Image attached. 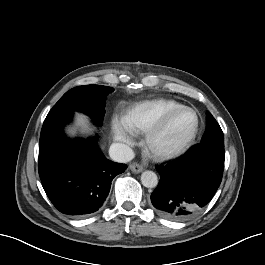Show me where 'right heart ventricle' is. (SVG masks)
I'll return each instance as SVG.
<instances>
[{
  "label": "right heart ventricle",
  "mask_w": 265,
  "mask_h": 265,
  "mask_svg": "<svg viewBox=\"0 0 265 265\" xmlns=\"http://www.w3.org/2000/svg\"><path fill=\"white\" fill-rule=\"evenodd\" d=\"M183 106L173 99H154L138 103L121 116V124L132 134H144L162 114Z\"/></svg>",
  "instance_id": "1"
}]
</instances>
